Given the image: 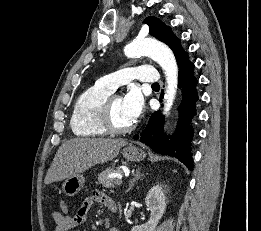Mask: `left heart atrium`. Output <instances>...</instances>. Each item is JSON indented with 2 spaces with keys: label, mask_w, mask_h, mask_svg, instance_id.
Returning <instances> with one entry per match:
<instances>
[{
  "label": "left heart atrium",
  "mask_w": 261,
  "mask_h": 231,
  "mask_svg": "<svg viewBox=\"0 0 261 231\" xmlns=\"http://www.w3.org/2000/svg\"><path fill=\"white\" fill-rule=\"evenodd\" d=\"M123 104L130 118L135 121L143 111L144 100L138 88H132L123 98Z\"/></svg>",
  "instance_id": "left-heart-atrium-1"
}]
</instances>
